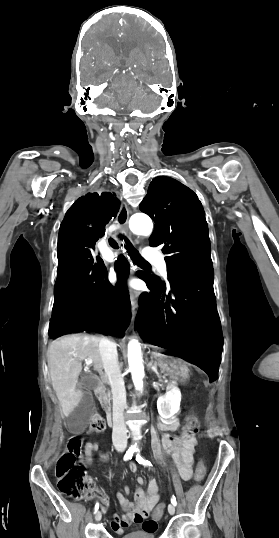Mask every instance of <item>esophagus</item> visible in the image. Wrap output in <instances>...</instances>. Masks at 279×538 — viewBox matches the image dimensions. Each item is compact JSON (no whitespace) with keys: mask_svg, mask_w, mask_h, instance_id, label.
Listing matches in <instances>:
<instances>
[{"mask_svg":"<svg viewBox=\"0 0 279 538\" xmlns=\"http://www.w3.org/2000/svg\"><path fill=\"white\" fill-rule=\"evenodd\" d=\"M128 220H129V210L127 208V204L125 202H122L120 205L119 212L116 216V222L120 226L122 233L125 235H128L129 227H128ZM139 293L136 290L130 291V300H131V308L132 313L134 316L135 309H136V303Z\"/></svg>","mask_w":279,"mask_h":538,"instance_id":"esophagus-1","label":"esophagus"}]
</instances>
